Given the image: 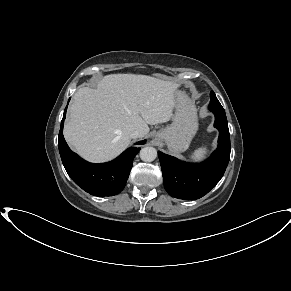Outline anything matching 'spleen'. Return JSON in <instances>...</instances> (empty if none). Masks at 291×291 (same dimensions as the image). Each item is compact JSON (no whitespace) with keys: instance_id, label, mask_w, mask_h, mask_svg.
Returning a JSON list of instances; mask_svg holds the SVG:
<instances>
[{"instance_id":"1","label":"spleen","mask_w":291,"mask_h":291,"mask_svg":"<svg viewBox=\"0 0 291 291\" xmlns=\"http://www.w3.org/2000/svg\"><path fill=\"white\" fill-rule=\"evenodd\" d=\"M207 153H208L207 147L202 146L194 150V152L190 155V158L193 161H201L206 157Z\"/></svg>"}]
</instances>
